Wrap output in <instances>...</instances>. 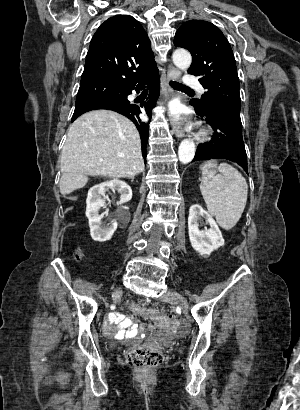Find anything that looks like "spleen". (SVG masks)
I'll return each instance as SVG.
<instances>
[{
    "label": "spleen",
    "mask_w": 300,
    "mask_h": 410,
    "mask_svg": "<svg viewBox=\"0 0 300 410\" xmlns=\"http://www.w3.org/2000/svg\"><path fill=\"white\" fill-rule=\"evenodd\" d=\"M213 162L202 167L200 191L208 212L225 230L233 228L244 211L247 202L248 185L241 173L228 163H220V174L211 172Z\"/></svg>",
    "instance_id": "3e777b00"
}]
</instances>
